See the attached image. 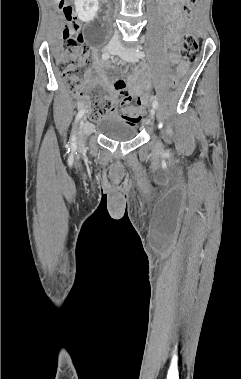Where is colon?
Instances as JSON below:
<instances>
[{"mask_svg": "<svg viewBox=\"0 0 241 379\" xmlns=\"http://www.w3.org/2000/svg\"><path fill=\"white\" fill-rule=\"evenodd\" d=\"M197 0H186L182 11L187 21L192 19L194 7ZM60 9L67 21L65 33L66 48L58 61V67L63 74L68 90L87 108V117L91 121H97L101 116L110 112L114 108L110 96L101 89L86 90L83 88L82 67L88 58V52L84 47V40L76 24V14L73 5L62 1ZM182 58L188 64L196 62L198 59V41L194 34L185 32L182 36ZM181 85V80L172 78L171 87ZM115 86L123 94H126L125 85L122 81L115 82ZM153 87H144L139 93L142 103L149 101L148 96L153 94Z\"/></svg>", "mask_w": 241, "mask_h": 379, "instance_id": "5ec220e1", "label": "colon"}]
</instances>
